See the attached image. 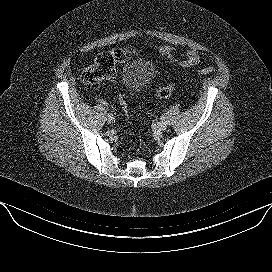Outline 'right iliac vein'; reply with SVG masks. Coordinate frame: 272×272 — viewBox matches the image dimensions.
<instances>
[{
	"instance_id": "right-iliac-vein-1",
	"label": "right iliac vein",
	"mask_w": 272,
	"mask_h": 272,
	"mask_svg": "<svg viewBox=\"0 0 272 272\" xmlns=\"http://www.w3.org/2000/svg\"><path fill=\"white\" fill-rule=\"evenodd\" d=\"M115 121V118L112 116V117H108V122L109 123H113Z\"/></svg>"
}]
</instances>
